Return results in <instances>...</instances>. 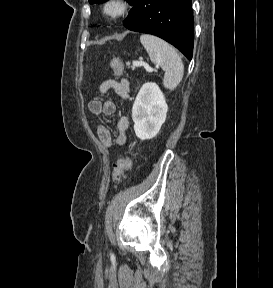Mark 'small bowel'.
<instances>
[{
    "instance_id": "1",
    "label": "small bowel",
    "mask_w": 273,
    "mask_h": 288,
    "mask_svg": "<svg viewBox=\"0 0 273 288\" xmlns=\"http://www.w3.org/2000/svg\"><path fill=\"white\" fill-rule=\"evenodd\" d=\"M100 93L104 96L112 90L121 99L129 98V83L127 80L123 79L121 81L116 80H106L100 85ZM89 111L95 115H105L110 116L115 113L116 105L110 99L100 100L94 99L88 104ZM129 127V119L126 116H122L117 123V136L113 140L109 128L105 125H100L97 129V135L100 142L105 146H112L113 142L118 146H123L127 141V133Z\"/></svg>"
}]
</instances>
